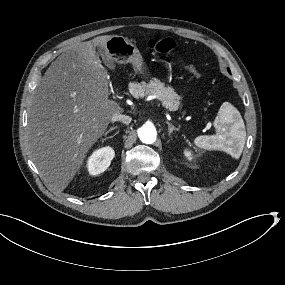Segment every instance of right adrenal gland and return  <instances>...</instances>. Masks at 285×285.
<instances>
[{
	"label": "right adrenal gland",
	"mask_w": 285,
	"mask_h": 285,
	"mask_svg": "<svg viewBox=\"0 0 285 285\" xmlns=\"http://www.w3.org/2000/svg\"><path fill=\"white\" fill-rule=\"evenodd\" d=\"M117 128H118V126H115V127L111 128V129H109L106 133L103 134V136L106 137L110 132L114 131Z\"/></svg>",
	"instance_id": "obj_1"
}]
</instances>
